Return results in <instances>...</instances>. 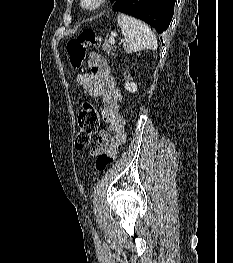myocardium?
<instances>
[{
    "mask_svg": "<svg viewBox=\"0 0 233 263\" xmlns=\"http://www.w3.org/2000/svg\"><path fill=\"white\" fill-rule=\"evenodd\" d=\"M106 0H81V7L89 12H95L99 10L104 4Z\"/></svg>",
    "mask_w": 233,
    "mask_h": 263,
    "instance_id": "obj_1",
    "label": "myocardium"
}]
</instances>
